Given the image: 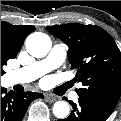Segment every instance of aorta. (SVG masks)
I'll return each mask as SVG.
<instances>
[{"label":"aorta","mask_w":121,"mask_h":121,"mask_svg":"<svg viewBox=\"0 0 121 121\" xmlns=\"http://www.w3.org/2000/svg\"><path fill=\"white\" fill-rule=\"evenodd\" d=\"M52 46L48 35L35 32L30 34L26 39L27 51L36 58H42L48 54ZM70 107L66 101H57L53 106V114L60 119L69 115Z\"/></svg>","instance_id":"obj_1"}]
</instances>
